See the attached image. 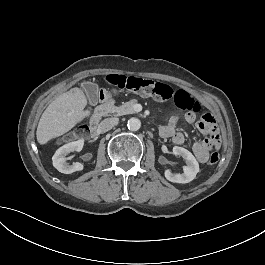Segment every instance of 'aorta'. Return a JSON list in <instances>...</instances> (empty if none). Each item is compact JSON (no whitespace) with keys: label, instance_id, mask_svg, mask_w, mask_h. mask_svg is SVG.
<instances>
[{"label":"aorta","instance_id":"1","mask_svg":"<svg viewBox=\"0 0 265 265\" xmlns=\"http://www.w3.org/2000/svg\"><path fill=\"white\" fill-rule=\"evenodd\" d=\"M127 127L131 131H137L141 127V121L138 118L132 117L128 120Z\"/></svg>","mask_w":265,"mask_h":265}]
</instances>
